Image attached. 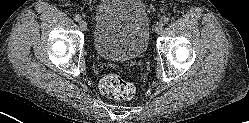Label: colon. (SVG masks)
Returning <instances> with one entry per match:
<instances>
[{"mask_svg":"<svg viewBox=\"0 0 249 123\" xmlns=\"http://www.w3.org/2000/svg\"><path fill=\"white\" fill-rule=\"evenodd\" d=\"M101 94L112 100L123 101L133 97L135 87L117 75H107L99 85Z\"/></svg>","mask_w":249,"mask_h":123,"instance_id":"5ec220e1","label":"colon"}]
</instances>
